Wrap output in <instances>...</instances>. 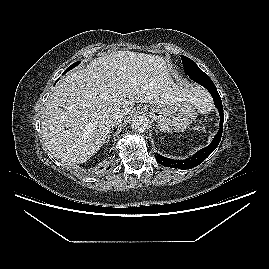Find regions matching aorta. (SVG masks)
Masks as SVG:
<instances>
[{
    "instance_id": "aorta-1",
    "label": "aorta",
    "mask_w": 269,
    "mask_h": 269,
    "mask_svg": "<svg viewBox=\"0 0 269 269\" xmlns=\"http://www.w3.org/2000/svg\"><path fill=\"white\" fill-rule=\"evenodd\" d=\"M149 120L145 116H135L132 119L131 127L135 132H144L148 129Z\"/></svg>"
}]
</instances>
